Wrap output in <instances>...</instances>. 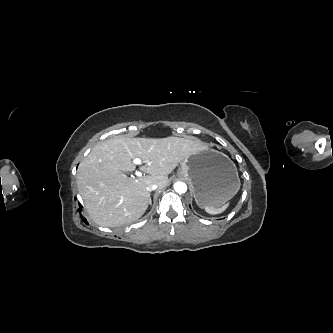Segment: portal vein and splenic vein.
Returning a JSON list of instances; mask_svg holds the SVG:
<instances>
[{
  "label": "portal vein and splenic vein",
  "instance_id": "obj_1",
  "mask_svg": "<svg viewBox=\"0 0 333 333\" xmlns=\"http://www.w3.org/2000/svg\"><path fill=\"white\" fill-rule=\"evenodd\" d=\"M133 163L136 164V165H141L143 162L140 158H135V159H133ZM135 175L138 176V177H141L142 173L140 171H136Z\"/></svg>",
  "mask_w": 333,
  "mask_h": 333
}]
</instances>
